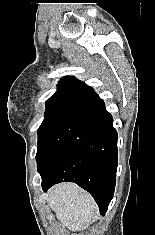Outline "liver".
I'll return each instance as SVG.
<instances>
[{
    "label": "liver",
    "instance_id": "6515ba94",
    "mask_svg": "<svg viewBox=\"0 0 155 235\" xmlns=\"http://www.w3.org/2000/svg\"><path fill=\"white\" fill-rule=\"evenodd\" d=\"M47 201L57 219L70 231L88 227L97 210L92 196L70 182L53 186Z\"/></svg>",
    "mask_w": 155,
    "mask_h": 235
}]
</instances>
